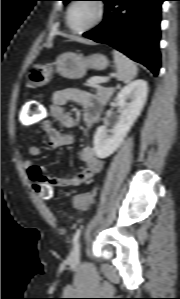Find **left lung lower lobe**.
<instances>
[{"mask_svg":"<svg viewBox=\"0 0 180 299\" xmlns=\"http://www.w3.org/2000/svg\"><path fill=\"white\" fill-rule=\"evenodd\" d=\"M103 1L106 3L103 22L83 36L114 47L157 76L161 4L165 0Z\"/></svg>","mask_w":180,"mask_h":299,"instance_id":"left-lung-lower-lobe-1","label":"left lung lower lobe"}]
</instances>
